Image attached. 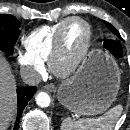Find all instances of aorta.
Returning a JSON list of instances; mask_svg holds the SVG:
<instances>
[{"label": "aorta", "mask_w": 130, "mask_h": 130, "mask_svg": "<svg viewBox=\"0 0 130 130\" xmlns=\"http://www.w3.org/2000/svg\"><path fill=\"white\" fill-rule=\"evenodd\" d=\"M36 104L40 107H48L50 105L51 99L46 92H40L36 95Z\"/></svg>", "instance_id": "obj_1"}]
</instances>
